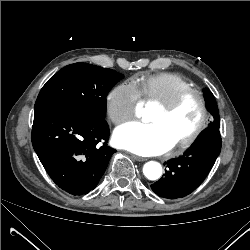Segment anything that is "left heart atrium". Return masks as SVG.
Returning <instances> with one entry per match:
<instances>
[{
	"label": "left heart atrium",
	"mask_w": 250,
	"mask_h": 250,
	"mask_svg": "<svg viewBox=\"0 0 250 250\" xmlns=\"http://www.w3.org/2000/svg\"><path fill=\"white\" fill-rule=\"evenodd\" d=\"M116 146L139 155H159L173 147L174 143L157 124L126 123L113 135Z\"/></svg>",
	"instance_id": "1"
}]
</instances>
